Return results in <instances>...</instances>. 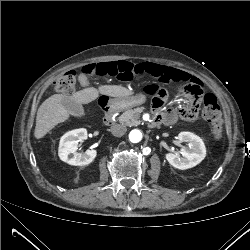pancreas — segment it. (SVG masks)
<instances>
[{
  "mask_svg": "<svg viewBox=\"0 0 250 250\" xmlns=\"http://www.w3.org/2000/svg\"><path fill=\"white\" fill-rule=\"evenodd\" d=\"M144 107H137L132 110L125 111L119 118V122L127 126H136L140 123L139 117Z\"/></svg>",
  "mask_w": 250,
  "mask_h": 250,
  "instance_id": "cf45deb5",
  "label": "pancreas"
}]
</instances>
